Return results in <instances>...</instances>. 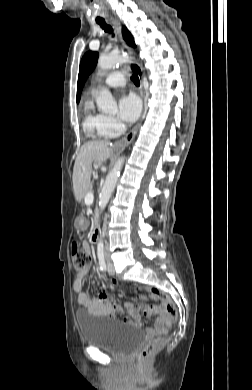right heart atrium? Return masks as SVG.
I'll use <instances>...</instances> for the list:
<instances>
[{"label":"right heart atrium","mask_w":252,"mask_h":390,"mask_svg":"<svg viewBox=\"0 0 252 390\" xmlns=\"http://www.w3.org/2000/svg\"><path fill=\"white\" fill-rule=\"evenodd\" d=\"M123 128V125L112 116L103 115L101 129L107 137L117 135Z\"/></svg>","instance_id":"obj_1"}]
</instances>
